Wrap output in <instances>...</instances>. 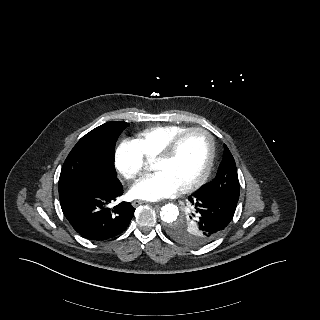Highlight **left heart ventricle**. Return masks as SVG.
<instances>
[{"label": "left heart ventricle", "mask_w": 320, "mask_h": 320, "mask_svg": "<svg viewBox=\"0 0 320 320\" xmlns=\"http://www.w3.org/2000/svg\"><path fill=\"white\" fill-rule=\"evenodd\" d=\"M209 143L202 133H192L179 144L174 156L164 162H154L152 169L169 176L178 186L194 181L205 168Z\"/></svg>", "instance_id": "obj_1"}]
</instances>
